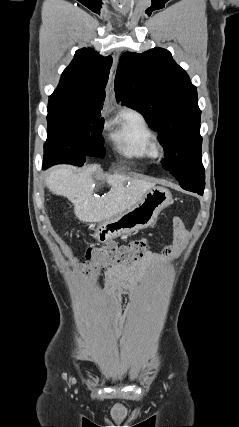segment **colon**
Here are the masks:
<instances>
[{
  "instance_id": "1",
  "label": "colon",
  "mask_w": 239,
  "mask_h": 427,
  "mask_svg": "<svg viewBox=\"0 0 239 427\" xmlns=\"http://www.w3.org/2000/svg\"><path fill=\"white\" fill-rule=\"evenodd\" d=\"M150 252L147 239L140 238L120 245L109 242L100 247H92L86 253L82 271L89 276H97L100 271L116 265H130Z\"/></svg>"
}]
</instances>
